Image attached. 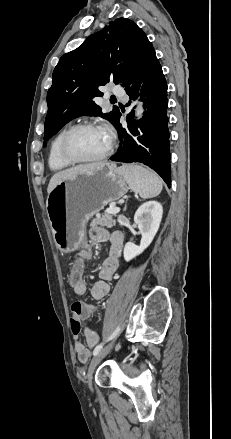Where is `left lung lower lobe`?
Wrapping results in <instances>:
<instances>
[{
	"instance_id": "1",
	"label": "left lung lower lobe",
	"mask_w": 231,
	"mask_h": 439,
	"mask_svg": "<svg viewBox=\"0 0 231 439\" xmlns=\"http://www.w3.org/2000/svg\"><path fill=\"white\" fill-rule=\"evenodd\" d=\"M123 87L130 99L135 100L142 95L146 111L136 124L133 121L134 113L128 114V129L121 126L120 113L115 124L120 146L110 160L143 163L155 170L170 187L167 84L153 46L147 49L134 74Z\"/></svg>"
}]
</instances>
